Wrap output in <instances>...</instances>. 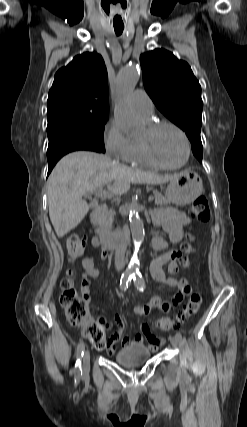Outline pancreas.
<instances>
[{
	"label": "pancreas",
	"instance_id": "1",
	"mask_svg": "<svg viewBox=\"0 0 247 427\" xmlns=\"http://www.w3.org/2000/svg\"><path fill=\"white\" fill-rule=\"evenodd\" d=\"M154 198L156 205H164L168 204L169 200L165 198L160 192L154 191ZM115 212L113 210L104 211L101 215L100 225L102 227L103 232L108 233L112 229L113 219Z\"/></svg>",
	"mask_w": 247,
	"mask_h": 427
}]
</instances>
